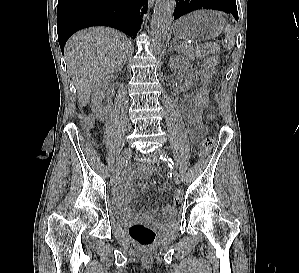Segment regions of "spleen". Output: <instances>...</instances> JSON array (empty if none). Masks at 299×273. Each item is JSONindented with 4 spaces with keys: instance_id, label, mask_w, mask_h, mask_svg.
Listing matches in <instances>:
<instances>
[{
    "instance_id": "spleen-1",
    "label": "spleen",
    "mask_w": 299,
    "mask_h": 273,
    "mask_svg": "<svg viewBox=\"0 0 299 273\" xmlns=\"http://www.w3.org/2000/svg\"><path fill=\"white\" fill-rule=\"evenodd\" d=\"M226 36L225 47L231 49L235 44V28L232 25H227L224 29Z\"/></svg>"
}]
</instances>
